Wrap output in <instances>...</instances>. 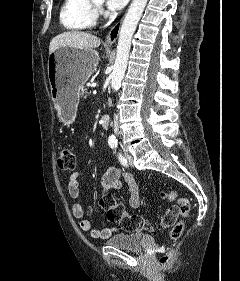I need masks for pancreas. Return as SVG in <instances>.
Listing matches in <instances>:
<instances>
[{"instance_id": "pancreas-1", "label": "pancreas", "mask_w": 240, "mask_h": 281, "mask_svg": "<svg viewBox=\"0 0 240 281\" xmlns=\"http://www.w3.org/2000/svg\"><path fill=\"white\" fill-rule=\"evenodd\" d=\"M89 94H90V93L88 92V89H87L86 87H83L82 90H81L80 95H81L82 97H85V98H86Z\"/></svg>"}]
</instances>
